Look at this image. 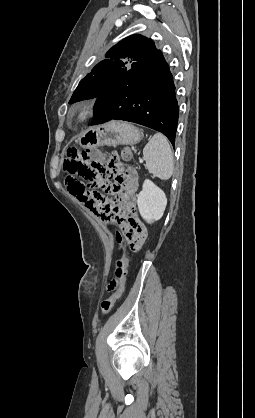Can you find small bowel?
<instances>
[{
	"label": "small bowel",
	"mask_w": 255,
	"mask_h": 418,
	"mask_svg": "<svg viewBox=\"0 0 255 418\" xmlns=\"http://www.w3.org/2000/svg\"><path fill=\"white\" fill-rule=\"evenodd\" d=\"M109 163H122V154H109ZM138 190V174L133 169H128L125 172H119L114 176V183L112 185V193L115 194L121 202L119 213L121 217H125L128 212L133 209L135 205V194ZM105 221V220H104ZM106 222V221H105ZM117 234L123 235L126 240L127 249H133L132 253L137 255L138 249H143L146 241V228H119ZM109 283L106 286L108 293H113L117 288L118 276L111 274L109 276Z\"/></svg>",
	"instance_id": "c3829d8e"
}]
</instances>
